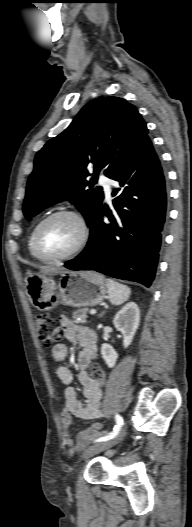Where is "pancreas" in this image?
Instances as JSON below:
<instances>
[{
    "mask_svg": "<svg viewBox=\"0 0 192 527\" xmlns=\"http://www.w3.org/2000/svg\"><path fill=\"white\" fill-rule=\"evenodd\" d=\"M89 310L87 308L79 309L77 311H74L72 314L73 321L75 323H87V312Z\"/></svg>",
    "mask_w": 192,
    "mask_h": 527,
    "instance_id": "1",
    "label": "pancreas"
}]
</instances>
